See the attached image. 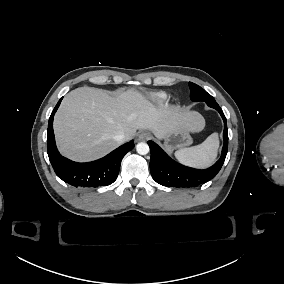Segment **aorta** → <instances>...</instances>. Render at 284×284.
Returning <instances> with one entry per match:
<instances>
[{
    "label": "aorta",
    "instance_id": "aorta-1",
    "mask_svg": "<svg viewBox=\"0 0 284 284\" xmlns=\"http://www.w3.org/2000/svg\"><path fill=\"white\" fill-rule=\"evenodd\" d=\"M136 151L140 155H146L149 152V146L145 142H140L136 145Z\"/></svg>",
    "mask_w": 284,
    "mask_h": 284
}]
</instances>
